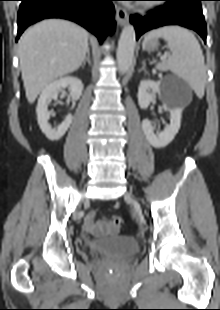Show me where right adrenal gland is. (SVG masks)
I'll list each match as a JSON object with an SVG mask.
<instances>
[{
  "mask_svg": "<svg viewBox=\"0 0 220 310\" xmlns=\"http://www.w3.org/2000/svg\"><path fill=\"white\" fill-rule=\"evenodd\" d=\"M86 62H88L89 65H91V61H90V51L88 50L87 52V56L85 57L84 61L82 62V67L85 66Z\"/></svg>",
  "mask_w": 220,
  "mask_h": 310,
  "instance_id": "obj_1",
  "label": "right adrenal gland"
}]
</instances>
